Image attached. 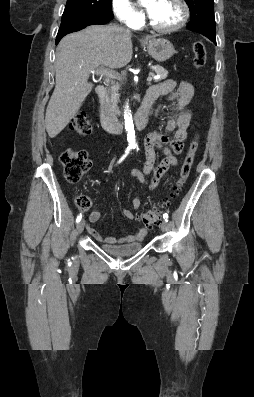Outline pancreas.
Wrapping results in <instances>:
<instances>
[{"mask_svg": "<svg viewBox=\"0 0 254 397\" xmlns=\"http://www.w3.org/2000/svg\"><path fill=\"white\" fill-rule=\"evenodd\" d=\"M154 71L159 76V78L156 79V81H161L167 78L168 71L163 67L156 65L154 67ZM150 75L154 76L155 74L150 73ZM120 81H122V79H120ZM119 89H120V84L113 83L108 91V94L104 99L106 107L112 115L118 114L117 103L119 101V93H118Z\"/></svg>", "mask_w": 254, "mask_h": 397, "instance_id": "obj_1", "label": "pancreas"}]
</instances>
